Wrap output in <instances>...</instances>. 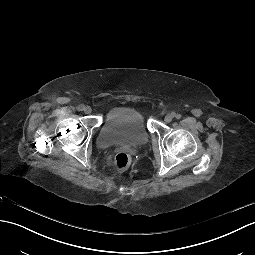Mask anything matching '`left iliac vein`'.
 <instances>
[{
    "label": "left iliac vein",
    "instance_id": "obj_1",
    "mask_svg": "<svg viewBox=\"0 0 255 255\" xmlns=\"http://www.w3.org/2000/svg\"><path fill=\"white\" fill-rule=\"evenodd\" d=\"M173 119V116L171 114H167L164 118L165 122L169 123L171 122Z\"/></svg>",
    "mask_w": 255,
    "mask_h": 255
}]
</instances>
